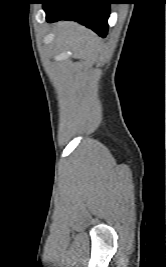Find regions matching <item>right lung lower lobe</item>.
I'll list each match as a JSON object with an SVG mask.
<instances>
[{"label": "right lung lower lobe", "mask_w": 166, "mask_h": 267, "mask_svg": "<svg viewBox=\"0 0 166 267\" xmlns=\"http://www.w3.org/2000/svg\"><path fill=\"white\" fill-rule=\"evenodd\" d=\"M110 3V0H46L43 8L48 22L75 20L105 37Z\"/></svg>", "instance_id": "obj_1"}]
</instances>
